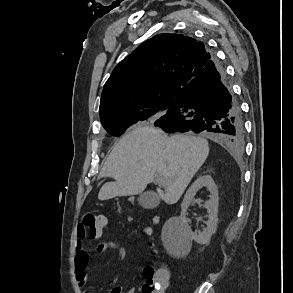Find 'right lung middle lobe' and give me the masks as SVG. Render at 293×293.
I'll use <instances>...</instances> for the list:
<instances>
[{
  "label": "right lung middle lobe",
  "instance_id": "1",
  "mask_svg": "<svg viewBox=\"0 0 293 293\" xmlns=\"http://www.w3.org/2000/svg\"><path fill=\"white\" fill-rule=\"evenodd\" d=\"M176 98L162 101L156 106L145 109L139 112H133L125 115L107 116L101 119L104 129L113 136L122 135L126 129L140 121L151 120L155 121L167 112L173 111L176 108Z\"/></svg>",
  "mask_w": 293,
  "mask_h": 293
}]
</instances>
